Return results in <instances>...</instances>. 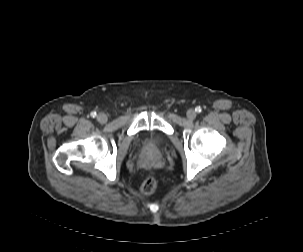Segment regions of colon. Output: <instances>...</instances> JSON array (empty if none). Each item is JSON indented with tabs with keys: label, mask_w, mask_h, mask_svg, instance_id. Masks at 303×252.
<instances>
[{
	"label": "colon",
	"mask_w": 303,
	"mask_h": 252,
	"mask_svg": "<svg viewBox=\"0 0 303 252\" xmlns=\"http://www.w3.org/2000/svg\"><path fill=\"white\" fill-rule=\"evenodd\" d=\"M158 185V180L156 176L149 175L147 176L141 184V192L145 195L152 194Z\"/></svg>",
	"instance_id": "colon-1"
}]
</instances>
